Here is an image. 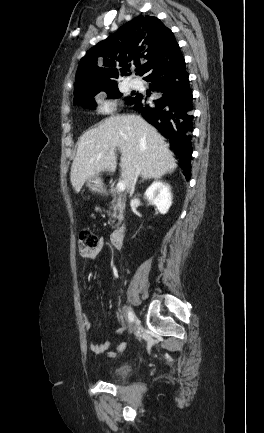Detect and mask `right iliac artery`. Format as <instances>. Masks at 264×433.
<instances>
[{"instance_id": "1", "label": "right iliac artery", "mask_w": 264, "mask_h": 433, "mask_svg": "<svg viewBox=\"0 0 264 433\" xmlns=\"http://www.w3.org/2000/svg\"><path fill=\"white\" fill-rule=\"evenodd\" d=\"M126 313H127L129 322H132L133 321V313H132V311L130 309H127Z\"/></svg>"}]
</instances>
